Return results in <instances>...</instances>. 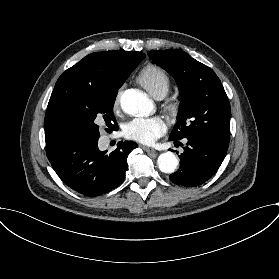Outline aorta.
I'll use <instances>...</instances> for the list:
<instances>
[{
  "label": "aorta",
  "mask_w": 279,
  "mask_h": 279,
  "mask_svg": "<svg viewBox=\"0 0 279 279\" xmlns=\"http://www.w3.org/2000/svg\"><path fill=\"white\" fill-rule=\"evenodd\" d=\"M121 107L127 114L133 116H147L153 112L152 101L145 93L137 89H128L121 96ZM158 167L163 173H173L178 166L176 155L167 151L159 155L157 160Z\"/></svg>",
  "instance_id": "obj_1"
}]
</instances>
